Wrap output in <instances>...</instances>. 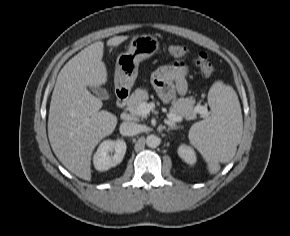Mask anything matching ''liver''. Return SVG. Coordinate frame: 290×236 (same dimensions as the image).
<instances>
[{"label":"liver","instance_id":"6515ba94","mask_svg":"<svg viewBox=\"0 0 290 236\" xmlns=\"http://www.w3.org/2000/svg\"><path fill=\"white\" fill-rule=\"evenodd\" d=\"M128 36H115L107 46L117 47ZM104 43L97 41L81 50L61 69L52 93L48 137L58 160L79 178L91 180V155L96 145L109 136L117 117L100 110L102 101L87 87L106 84Z\"/></svg>","mask_w":290,"mask_h":236}]
</instances>
